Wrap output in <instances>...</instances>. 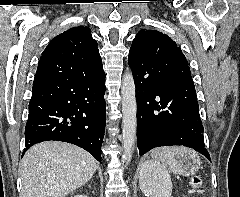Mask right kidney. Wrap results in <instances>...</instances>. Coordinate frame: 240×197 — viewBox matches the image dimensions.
Returning a JSON list of instances; mask_svg holds the SVG:
<instances>
[{
	"label": "right kidney",
	"mask_w": 240,
	"mask_h": 197,
	"mask_svg": "<svg viewBox=\"0 0 240 197\" xmlns=\"http://www.w3.org/2000/svg\"><path fill=\"white\" fill-rule=\"evenodd\" d=\"M74 197H88V196L83 194H78V195H75Z\"/></svg>",
	"instance_id": "obj_1"
}]
</instances>
